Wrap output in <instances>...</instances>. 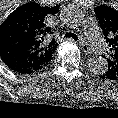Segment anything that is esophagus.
<instances>
[{"label":"esophagus","mask_w":118,"mask_h":118,"mask_svg":"<svg viewBox=\"0 0 118 118\" xmlns=\"http://www.w3.org/2000/svg\"><path fill=\"white\" fill-rule=\"evenodd\" d=\"M79 44H80V47L85 54H91L92 53L90 47L87 44H85V43H79Z\"/></svg>","instance_id":"1"}]
</instances>
